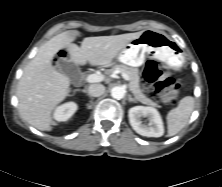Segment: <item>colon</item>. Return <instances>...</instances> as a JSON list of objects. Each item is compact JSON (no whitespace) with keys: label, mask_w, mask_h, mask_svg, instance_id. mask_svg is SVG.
Here are the masks:
<instances>
[{"label":"colon","mask_w":222,"mask_h":187,"mask_svg":"<svg viewBox=\"0 0 222 187\" xmlns=\"http://www.w3.org/2000/svg\"><path fill=\"white\" fill-rule=\"evenodd\" d=\"M59 58L66 60L68 53L62 51ZM143 78L146 82L154 85L153 93L159 95L164 102L171 103L176 99L179 85L173 78L165 76V70L158 62L154 60L147 62L143 71Z\"/></svg>","instance_id":"colon-1"}]
</instances>
